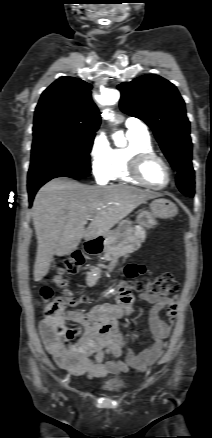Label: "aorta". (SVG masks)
<instances>
[{
	"mask_svg": "<svg viewBox=\"0 0 212 438\" xmlns=\"http://www.w3.org/2000/svg\"><path fill=\"white\" fill-rule=\"evenodd\" d=\"M120 94L116 89H104L102 90L101 96H100V102L103 105H112L116 103L119 100ZM108 109L105 111L107 115L109 116V119L111 121H114V115L112 113H108ZM113 139L115 141V144L117 146H123L126 143V140L124 138V135L121 131H117L113 134Z\"/></svg>",
	"mask_w": 212,
	"mask_h": 438,
	"instance_id": "1",
	"label": "aorta"
}]
</instances>
